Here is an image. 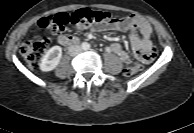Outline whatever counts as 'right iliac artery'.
<instances>
[{
  "label": "right iliac artery",
  "instance_id": "right-iliac-artery-1",
  "mask_svg": "<svg viewBox=\"0 0 194 133\" xmlns=\"http://www.w3.org/2000/svg\"><path fill=\"white\" fill-rule=\"evenodd\" d=\"M87 47H88V45H87L86 43H83V44H82V48H83V49H87Z\"/></svg>",
  "mask_w": 194,
  "mask_h": 133
}]
</instances>
